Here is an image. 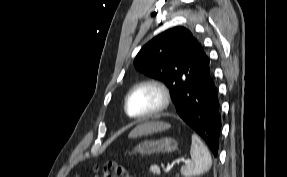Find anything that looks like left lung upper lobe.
<instances>
[{"instance_id":"1","label":"left lung upper lobe","mask_w":287,"mask_h":177,"mask_svg":"<svg viewBox=\"0 0 287 177\" xmlns=\"http://www.w3.org/2000/svg\"><path fill=\"white\" fill-rule=\"evenodd\" d=\"M208 64L202 45L184 27L160 33L141 48L134 60L136 69L169 87L175 106Z\"/></svg>"}]
</instances>
